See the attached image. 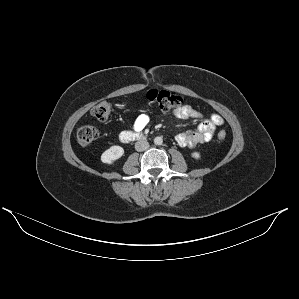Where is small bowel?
Instances as JSON below:
<instances>
[{
    "label": "small bowel",
    "mask_w": 299,
    "mask_h": 299,
    "mask_svg": "<svg viewBox=\"0 0 299 299\" xmlns=\"http://www.w3.org/2000/svg\"><path fill=\"white\" fill-rule=\"evenodd\" d=\"M172 114L179 119L202 120L194 130L180 133L176 136V142L182 147H194L208 143L214 136L216 128L224 123V119L214 114L210 119H204V115L190 105H183L173 109ZM149 123V116L138 115L132 125V132H142Z\"/></svg>",
    "instance_id": "obj_1"
}]
</instances>
